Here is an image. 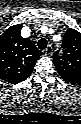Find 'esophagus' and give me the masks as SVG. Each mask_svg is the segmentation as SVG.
<instances>
[{
  "label": "esophagus",
  "mask_w": 81,
  "mask_h": 124,
  "mask_svg": "<svg viewBox=\"0 0 81 124\" xmlns=\"http://www.w3.org/2000/svg\"><path fill=\"white\" fill-rule=\"evenodd\" d=\"M53 53V47L51 45H48L45 49L46 55H51Z\"/></svg>",
  "instance_id": "34e87169"
}]
</instances>
